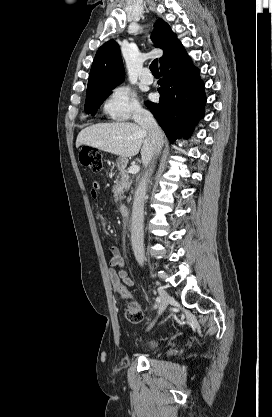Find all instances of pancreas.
<instances>
[{
  "label": "pancreas",
  "mask_w": 272,
  "mask_h": 417,
  "mask_svg": "<svg viewBox=\"0 0 272 417\" xmlns=\"http://www.w3.org/2000/svg\"><path fill=\"white\" fill-rule=\"evenodd\" d=\"M119 175L120 178L117 179L112 191L114 193V200L121 202L125 198L124 193L129 190L132 184V178L126 170H121Z\"/></svg>",
  "instance_id": "1"
}]
</instances>
